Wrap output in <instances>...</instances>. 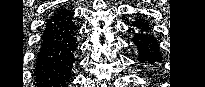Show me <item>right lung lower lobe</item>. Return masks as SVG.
I'll return each instance as SVG.
<instances>
[{
	"mask_svg": "<svg viewBox=\"0 0 205 87\" xmlns=\"http://www.w3.org/2000/svg\"><path fill=\"white\" fill-rule=\"evenodd\" d=\"M73 15L61 7L47 21L33 70L37 87H68L77 48Z\"/></svg>",
	"mask_w": 205,
	"mask_h": 87,
	"instance_id": "98d812e1",
	"label": "right lung lower lobe"
}]
</instances>
